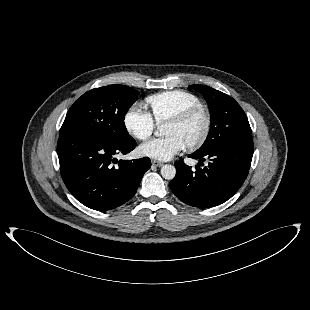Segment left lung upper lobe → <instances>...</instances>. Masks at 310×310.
<instances>
[{
	"label": "left lung upper lobe",
	"instance_id": "obj_1",
	"mask_svg": "<svg viewBox=\"0 0 310 310\" xmlns=\"http://www.w3.org/2000/svg\"><path fill=\"white\" fill-rule=\"evenodd\" d=\"M190 87L205 97L210 111V131L197 153H204L224 144L252 139L247 116L232 97L206 85L196 84Z\"/></svg>",
	"mask_w": 310,
	"mask_h": 310
}]
</instances>
